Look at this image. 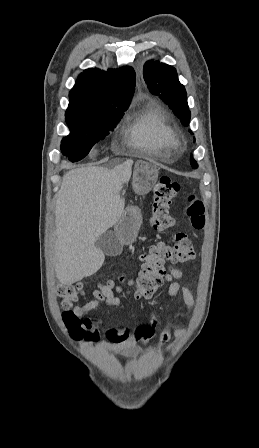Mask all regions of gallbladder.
Here are the masks:
<instances>
[{"label":"gallbladder","instance_id":"1","mask_svg":"<svg viewBox=\"0 0 259 448\" xmlns=\"http://www.w3.org/2000/svg\"><path fill=\"white\" fill-rule=\"evenodd\" d=\"M95 248L101 250L106 256H119L123 250V244L118 240L114 232H104L95 242Z\"/></svg>","mask_w":259,"mask_h":448}]
</instances>
